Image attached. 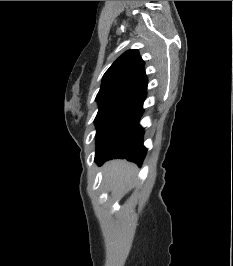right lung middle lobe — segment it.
I'll return each instance as SVG.
<instances>
[{"label":"right lung middle lobe","mask_w":233,"mask_h":266,"mask_svg":"<svg viewBox=\"0 0 233 266\" xmlns=\"http://www.w3.org/2000/svg\"><path fill=\"white\" fill-rule=\"evenodd\" d=\"M146 93H123L96 99L99 111L95 118L96 151L143 104Z\"/></svg>","instance_id":"dd1d6c3e"}]
</instances>
